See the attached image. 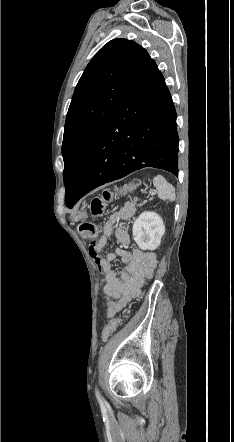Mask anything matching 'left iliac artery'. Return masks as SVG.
<instances>
[{
  "mask_svg": "<svg viewBox=\"0 0 234 442\" xmlns=\"http://www.w3.org/2000/svg\"><path fill=\"white\" fill-rule=\"evenodd\" d=\"M95 393H96V397H97L99 403L102 404L103 398H102L101 394L99 393V391L97 389H96Z\"/></svg>",
  "mask_w": 234,
  "mask_h": 442,
  "instance_id": "44dca946",
  "label": "left iliac artery"
}]
</instances>
